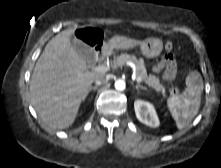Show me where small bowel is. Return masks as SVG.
<instances>
[{
  "instance_id": "c3829d8e",
  "label": "small bowel",
  "mask_w": 221,
  "mask_h": 168,
  "mask_svg": "<svg viewBox=\"0 0 221 168\" xmlns=\"http://www.w3.org/2000/svg\"><path fill=\"white\" fill-rule=\"evenodd\" d=\"M176 56L168 53L163 56V59L154 67V71L162 73L164 80H172L176 74Z\"/></svg>"
}]
</instances>
